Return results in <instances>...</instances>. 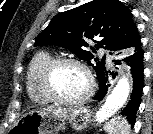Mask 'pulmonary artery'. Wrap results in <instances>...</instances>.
I'll return each instance as SVG.
<instances>
[{
  "instance_id": "1",
  "label": "pulmonary artery",
  "mask_w": 153,
  "mask_h": 134,
  "mask_svg": "<svg viewBox=\"0 0 153 134\" xmlns=\"http://www.w3.org/2000/svg\"><path fill=\"white\" fill-rule=\"evenodd\" d=\"M100 52H101V53H104V50H103V49H101V50H100Z\"/></svg>"
}]
</instances>
